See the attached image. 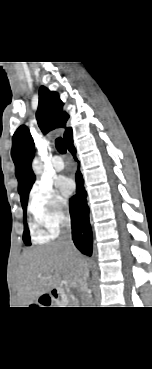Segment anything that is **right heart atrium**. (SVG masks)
Masks as SVG:
<instances>
[{
	"label": "right heart atrium",
	"instance_id": "1",
	"mask_svg": "<svg viewBox=\"0 0 152 369\" xmlns=\"http://www.w3.org/2000/svg\"><path fill=\"white\" fill-rule=\"evenodd\" d=\"M28 210L44 238L56 234L69 219L67 201L48 184L37 183L32 187Z\"/></svg>",
	"mask_w": 152,
	"mask_h": 369
}]
</instances>
